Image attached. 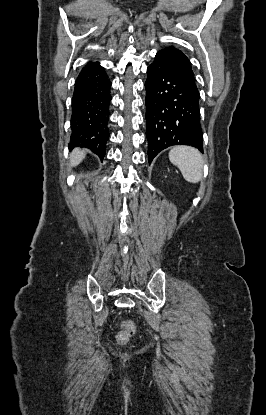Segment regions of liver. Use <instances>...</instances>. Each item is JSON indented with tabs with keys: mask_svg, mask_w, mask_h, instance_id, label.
I'll return each instance as SVG.
<instances>
[{
	"mask_svg": "<svg viewBox=\"0 0 266 415\" xmlns=\"http://www.w3.org/2000/svg\"><path fill=\"white\" fill-rule=\"evenodd\" d=\"M84 158H85V151L77 148L73 150L70 155V165L73 167L77 166L82 162Z\"/></svg>",
	"mask_w": 266,
	"mask_h": 415,
	"instance_id": "6515ba94",
	"label": "liver"
}]
</instances>
